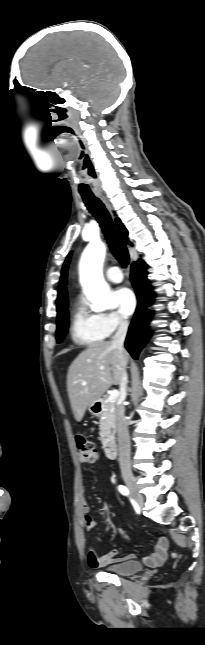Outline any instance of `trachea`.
Segmentation results:
<instances>
[{"label":"trachea","mask_w":205,"mask_h":645,"mask_svg":"<svg viewBox=\"0 0 205 645\" xmlns=\"http://www.w3.org/2000/svg\"><path fill=\"white\" fill-rule=\"evenodd\" d=\"M82 199L89 212L100 224L112 254L123 267H126L129 264L128 250L116 230L104 204L95 196H82Z\"/></svg>","instance_id":"obj_1"}]
</instances>
